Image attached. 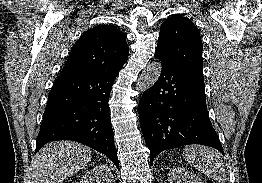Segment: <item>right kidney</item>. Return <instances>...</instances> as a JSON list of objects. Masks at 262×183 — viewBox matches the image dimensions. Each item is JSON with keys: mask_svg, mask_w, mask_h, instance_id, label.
<instances>
[{"mask_svg": "<svg viewBox=\"0 0 262 183\" xmlns=\"http://www.w3.org/2000/svg\"><path fill=\"white\" fill-rule=\"evenodd\" d=\"M78 183H113V174L107 165L101 164L88 170Z\"/></svg>", "mask_w": 262, "mask_h": 183, "instance_id": "right-kidney-1", "label": "right kidney"}]
</instances>
